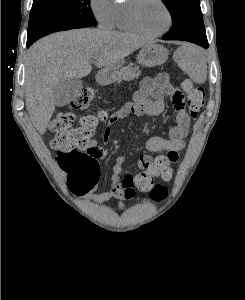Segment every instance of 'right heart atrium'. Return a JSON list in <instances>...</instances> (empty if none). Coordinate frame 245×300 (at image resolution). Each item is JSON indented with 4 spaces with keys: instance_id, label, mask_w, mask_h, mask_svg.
<instances>
[{
    "instance_id": "right-heart-atrium-1",
    "label": "right heart atrium",
    "mask_w": 245,
    "mask_h": 300,
    "mask_svg": "<svg viewBox=\"0 0 245 300\" xmlns=\"http://www.w3.org/2000/svg\"><path fill=\"white\" fill-rule=\"evenodd\" d=\"M90 10L97 23L104 28H109L113 22V0H89Z\"/></svg>"
}]
</instances>
